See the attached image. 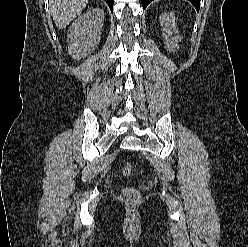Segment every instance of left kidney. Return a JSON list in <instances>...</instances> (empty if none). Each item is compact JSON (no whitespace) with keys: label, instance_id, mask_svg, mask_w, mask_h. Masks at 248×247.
<instances>
[{"label":"left kidney","instance_id":"left-kidney-1","mask_svg":"<svg viewBox=\"0 0 248 247\" xmlns=\"http://www.w3.org/2000/svg\"><path fill=\"white\" fill-rule=\"evenodd\" d=\"M159 19L162 26V31L166 33L164 34L166 48L169 51L171 50L174 52L175 49H178V44L176 42L182 39L178 30L176 29L175 16L172 12L164 13L160 16ZM173 33L176 34V36L170 39V36H172Z\"/></svg>","mask_w":248,"mask_h":247}]
</instances>
